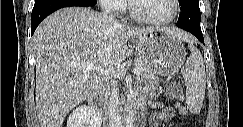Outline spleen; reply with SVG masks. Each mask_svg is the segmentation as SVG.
I'll return each mask as SVG.
<instances>
[{"label":"spleen","instance_id":"spleen-1","mask_svg":"<svg viewBox=\"0 0 243 127\" xmlns=\"http://www.w3.org/2000/svg\"><path fill=\"white\" fill-rule=\"evenodd\" d=\"M191 51L181 73L186 81V104L192 113H199L206 89L205 66L200 51L189 43Z\"/></svg>","mask_w":243,"mask_h":127}]
</instances>
